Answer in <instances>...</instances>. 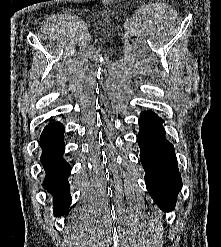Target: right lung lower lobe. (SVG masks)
I'll use <instances>...</instances> for the list:
<instances>
[{
  "label": "right lung lower lobe",
  "instance_id": "obj_1",
  "mask_svg": "<svg viewBox=\"0 0 221 247\" xmlns=\"http://www.w3.org/2000/svg\"><path fill=\"white\" fill-rule=\"evenodd\" d=\"M64 127L60 123H50L41 134L43 149L41 163L46 171L43 187L54 196V213L59 216L66 212L70 204L68 176L70 165L63 159Z\"/></svg>",
  "mask_w": 221,
  "mask_h": 247
}]
</instances>
